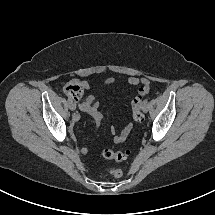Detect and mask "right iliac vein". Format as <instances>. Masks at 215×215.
Listing matches in <instances>:
<instances>
[{"instance_id": "obj_1", "label": "right iliac vein", "mask_w": 215, "mask_h": 215, "mask_svg": "<svg viewBox=\"0 0 215 215\" xmlns=\"http://www.w3.org/2000/svg\"><path fill=\"white\" fill-rule=\"evenodd\" d=\"M69 108L71 111H74L76 109V104L73 102H69Z\"/></svg>"}]
</instances>
